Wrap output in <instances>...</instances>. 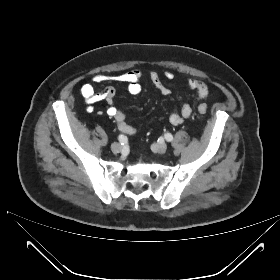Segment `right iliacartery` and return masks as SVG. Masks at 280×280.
I'll return each mask as SVG.
<instances>
[{"label":"right iliac artery","mask_w":280,"mask_h":280,"mask_svg":"<svg viewBox=\"0 0 280 280\" xmlns=\"http://www.w3.org/2000/svg\"><path fill=\"white\" fill-rule=\"evenodd\" d=\"M118 140L121 143V145H124L127 142V137L121 134L119 135Z\"/></svg>","instance_id":"1"}]
</instances>
